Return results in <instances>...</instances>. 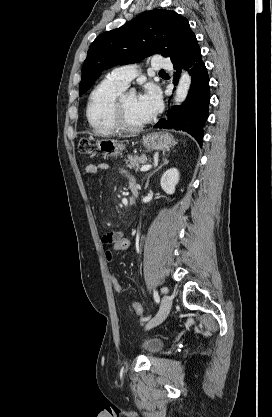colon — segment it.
Returning <instances> with one entry per match:
<instances>
[{"label": "colon", "mask_w": 272, "mask_h": 417, "mask_svg": "<svg viewBox=\"0 0 272 417\" xmlns=\"http://www.w3.org/2000/svg\"><path fill=\"white\" fill-rule=\"evenodd\" d=\"M78 151L81 155L84 156H94L96 154V148L92 141L86 137L80 139L78 144ZM130 247V240L125 236H120L113 239L110 244L107 246L106 249V257L109 261H112L115 254L125 252ZM111 283L113 289L118 292L122 293L123 289L121 283L115 274L111 276ZM133 312L135 314H141L140 309L142 308L141 304L137 301H133L132 303Z\"/></svg>", "instance_id": "colon-1"}]
</instances>
